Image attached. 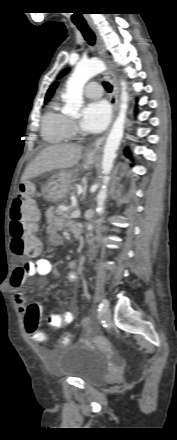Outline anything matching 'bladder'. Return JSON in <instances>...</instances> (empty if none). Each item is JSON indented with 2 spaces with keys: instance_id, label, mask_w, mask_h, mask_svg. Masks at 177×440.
Returning a JSON list of instances; mask_svg holds the SVG:
<instances>
[{
  "instance_id": "1",
  "label": "bladder",
  "mask_w": 177,
  "mask_h": 440,
  "mask_svg": "<svg viewBox=\"0 0 177 440\" xmlns=\"http://www.w3.org/2000/svg\"><path fill=\"white\" fill-rule=\"evenodd\" d=\"M107 369V355L98 349L75 345L60 348L56 372L60 376H72L87 384L101 383Z\"/></svg>"
}]
</instances>
